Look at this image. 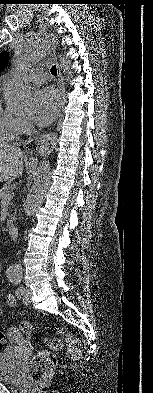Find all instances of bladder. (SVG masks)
Here are the masks:
<instances>
[{
  "label": "bladder",
  "mask_w": 153,
  "mask_h": 393,
  "mask_svg": "<svg viewBox=\"0 0 153 393\" xmlns=\"http://www.w3.org/2000/svg\"><path fill=\"white\" fill-rule=\"evenodd\" d=\"M21 373L22 367L16 360L15 350L12 347L0 350V381L17 384Z\"/></svg>",
  "instance_id": "31cf9c89"
}]
</instances>
